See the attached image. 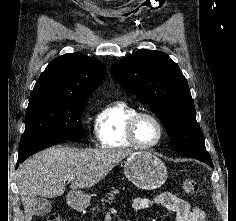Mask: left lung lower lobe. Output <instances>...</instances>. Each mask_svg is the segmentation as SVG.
I'll list each match as a JSON object with an SVG mask.
<instances>
[{
  "label": "left lung lower lobe",
  "mask_w": 236,
  "mask_h": 221,
  "mask_svg": "<svg viewBox=\"0 0 236 221\" xmlns=\"http://www.w3.org/2000/svg\"><path fill=\"white\" fill-rule=\"evenodd\" d=\"M196 159H197V158H196ZM209 163H210L209 165L213 167V164H212V162H209Z\"/></svg>",
  "instance_id": "left-lung-lower-lobe-1"
}]
</instances>
